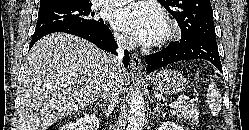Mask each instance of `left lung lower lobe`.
<instances>
[{
    "mask_svg": "<svg viewBox=\"0 0 249 130\" xmlns=\"http://www.w3.org/2000/svg\"><path fill=\"white\" fill-rule=\"evenodd\" d=\"M189 59L208 60L222 72L216 40L202 37L180 40L179 43L170 44L163 50L148 55L145 59L146 71L150 73L170 63Z\"/></svg>",
    "mask_w": 249,
    "mask_h": 130,
    "instance_id": "left-lung-lower-lobe-1",
    "label": "left lung lower lobe"
}]
</instances>
